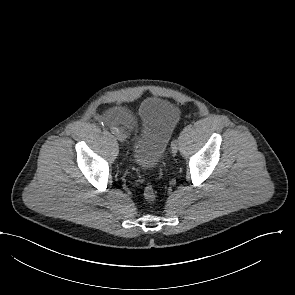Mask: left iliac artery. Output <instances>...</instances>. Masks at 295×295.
<instances>
[{
  "instance_id": "44dca946",
  "label": "left iliac artery",
  "mask_w": 295,
  "mask_h": 295,
  "mask_svg": "<svg viewBox=\"0 0 295 295\" xmlns=\"http://www.w3.org/2000/svg\"><path fill=\"white\" fill-rule=\"evenodd\" d=\"M175 144H177V140L173 139V141L171 142V145H175Z\"/></svg>"
}]
</instances>
